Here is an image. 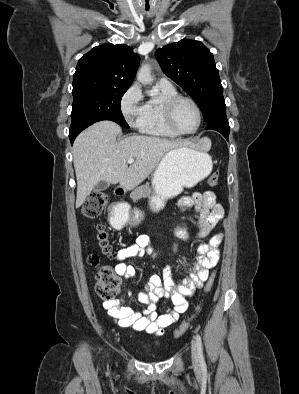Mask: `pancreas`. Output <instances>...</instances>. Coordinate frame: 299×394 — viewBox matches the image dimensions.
I'll list each match as a JSON object with an SVG mask.
<instances>
[{
  "label": "pancreas",
  "instance_id": "1",
  "mask_svg": "<svg viewBox=\"0 0 299 394\" xmlns=\"http://www.w3.org/2000/svg\"><path fill=\"white\" fill-rule=\"evenodd\" d=\"M152 190L148 184L141 186L136 192L133 193L134 195H139L141 197H148L152 194Z\"/></svg>",
  "mask_w": 299,
  "mask_h": 394
}]
</instances>
